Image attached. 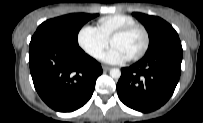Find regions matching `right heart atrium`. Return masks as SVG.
Instances as JSON below:
<instances>
[{"label":"right heart atrium","mask_w":203,"mask_h":123,"mask_svg":"<svg viewBox=\"0 0 203 123\" xmlns=\"http://www.w3.org/2000/svg\"><path fill=\"white\" fill-rule=\"evenodd\" d=\"M78 45L89 56L95 59L101 58L109 45V40L101 31L92 25H84L77 34Z\"/></svg>","instance_id":"d8ad5b80"}]
</instances>
